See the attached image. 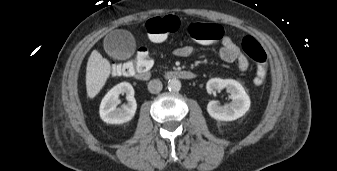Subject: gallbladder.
Listing matches in <instances>:
<instances>
[{
  "instance_id": "gallbladder-1",
  "label": "gallbladder",
  "mask_w": 337,
  "mask_h": 171,
  "mask_svg": "<svg viewBox=\"0 0 337 171\" xmlns=\"http://www.w3.org/2000/svg\"><path fill=\"white\" fill-rule=\"evenodd\" d=\"M104 49L113 58L127 59L135 49L133 36L125 30H115L104 39Z\"/></svg>"
}]
</instances>
